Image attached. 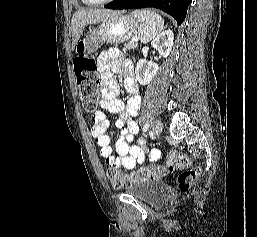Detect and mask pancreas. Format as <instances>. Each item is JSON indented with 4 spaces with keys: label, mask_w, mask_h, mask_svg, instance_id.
<instances>
[{
    "label": "pancreas",
    "mask_w": 257,
    "mask_h": 237,
    "mask_svg": "<svg viewBox=\"0 0 257 237\" xmlns=\"http://www.w3.org/2000/svg\"><path fill=\"white\" fill-rule=\"evenodd\" d=\"M125 49H135L138 46V43L136 41H129L128 43L124 44Z\"/></svg>",
    "instance_id": "obj_1"
}]
</instances>
